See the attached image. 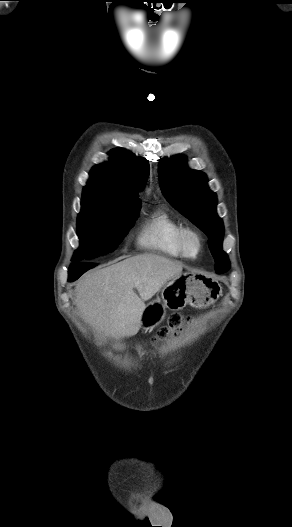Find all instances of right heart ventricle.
Returning <instances> with one entry per match:
<instances>
[{"instance_id": "1", "label": "right heart ventricle", "mask_w": 292, "mask_h": 527, "mask_svg": "<svg viewBox=\"0 0 292 527\" xmlns=\"http://www.w3.org/2000/svg\"><path fill=\"white\" fill-rule=\"evenodd\" d=\"M182 222L163 209L150 212L141 224L137 235L140 248L172 258H183L178 236Z\"/></svg>"}]
</instances>
